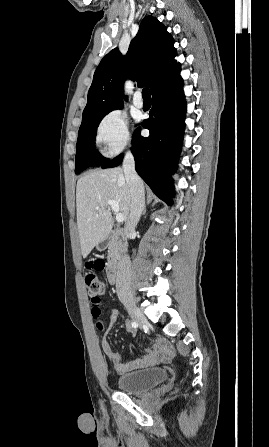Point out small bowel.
Listing matches in <instances>:
<instances>
[{"label": "small bowel", "mask_w": 269, "mask_h": 447, "mask_svg": "<svg viewBox=\"0 0 269 447\" xmlns=\"http://www.w3.org/2000/svg\"><path fill=\"white\" fill-rule=\"evenodd\" d=\"M120 319V312L116 309H112L110 311V325L112 326ZM102 350L114 366L115 370L119 373H125L158 363L167 362L173 357L172 348L165 342H160L151 346L146 350L144 356L129 361H122L121 355L119 353H113L107 342L102 343Z\"/></svg>", "instance_id": "obj_1"}]
</instances>
